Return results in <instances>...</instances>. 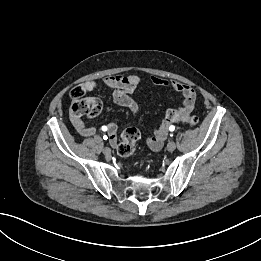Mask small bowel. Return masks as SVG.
Returning <instances> with one entry per match:
<instances>
[{
    "label": "small bowel",
    "instance_id": "small-bowel-1",
    "mask_svg": "<svg viewBox=\"0 0 261 261\" xmlns=\"http://www.w3.org/2000/svg\"><path fill=\"white\" fill-rule=\"evenodd\" d=\"M151 81L158 86L171 87L183 96L182 106L179 108L181 115H188L192 112L196 104V92L189 85L176 80H166L158 76H152ZM141 84V78L137 75H114L104 78L101 82L91 80L83 83L81 88L85 93H89L102 86L112 90L113 98L119 105L127 107L133 115L139 111L138 103L132 98V93ZM74 103V102H73ZM71 123L76 132L82 137L95 135L96 129L93 126L86 125L81 116L76 115L71 110ZM107 133L111 145L117 143V125L115 123L107 124ZM168 133V125H159L152 137L148 139V145L152 150H160Z\"/></svg>",
    "mask_w": 261,
    "mask_h": 261
}]
</instances>
